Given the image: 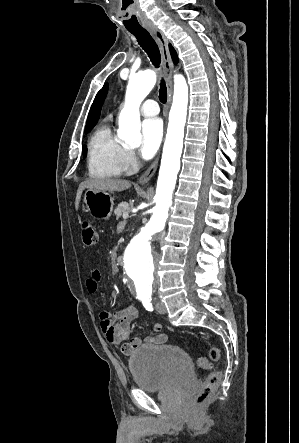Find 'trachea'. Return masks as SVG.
<instances>
[{
  "mask_svg": "<svg viewBox=\"0 0 299 443\" xmlns=\"http://www.w3.org/2000/svg\"><path fill=\"white\" fill-rule=\"evenodd\" d=\"M129 32L136 37L139 45L147 53L152 64L155 67H159L161 63L160 51L158 45L151 37V35L148 33V31L145 29H140V30H129ZM159 99L162 103H165L167 101V87L164 79H162L160 83Z\"/></svg>",
  "mask_w": 299,
  "mask_h": 443,
  "instance_id": "obj_1",
  "label": "trachea"
}]
</instances>
